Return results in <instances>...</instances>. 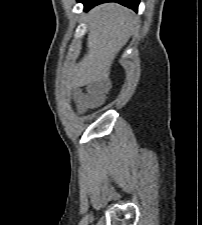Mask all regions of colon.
I'll list each match as a JSON object with an SVG mask.
<instances>
[{
  "mask_svg": "<svg viewBox=\"0 0 202 225\" xmlns=\"http://www.w3.org/2000/svg\"><path fill=\"white\" fill-rule=\"evenodd\" d=\"M109 91V88H98V87H92L91 88V104H99L101 103L104 98L106 93Z\"/></svg>",
  "mask_w": 202,
  "mask_h": 225,
  "instance_id": "obj_1",
  "label": "colon"
}]
</instances>
